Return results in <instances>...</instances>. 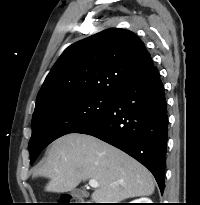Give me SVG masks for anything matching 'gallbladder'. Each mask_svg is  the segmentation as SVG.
Wrapping results in <instances>:
<instances>
[{
    "instance_id": "bac80fb5",
    "label": "gallbladder",
    "mask_w": 200,
    "mask_h": 205,
    "mask_svg": "<svg viewBox=\"0 0 200 205\" xmlns=\"http://www.w3.org/2000/svg\"><path fill=\"white\" fill-rule=\"evenodd\" d=\"M71 195L74 197H82V196H87V192L82 191L80 189H74L71 191Z\"/></svg>"
}]
</instances>
